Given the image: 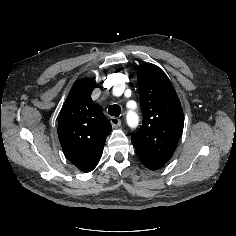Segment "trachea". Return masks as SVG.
Returning a JSON list of instances; mask_svg holds the SVG:
<instances>
[{
  "label": "trachea",
  "instance_id": "1",
  "mask_svg": "<svg viewBox=\"0 0 236 236\" xmlns=\"http://www.w3.org/2000/svg\"><path fill=\"white\" fill-rule=\"evenodd\" d=\"M120 113H121V108L117 104L111 105L108 109V114L111 116H119Z\"/></svg>",
  "mask_w": 236,
  "mask_h": 236
}]
</instances>
